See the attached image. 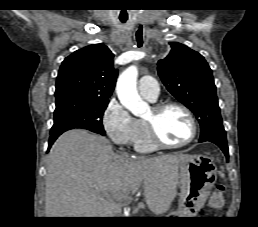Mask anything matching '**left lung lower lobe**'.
Returning <instances> with one entry per match:
<instances>
[{
    "label": "left lung lower lobe",
    "mask_w": 258,
    "mask_h": 227,
    "mask_svg": "<svg viewBox=\"0 0 258 227\" xmlns=\"http://www.w3.org/2000/svg\"><path fill=\"white\" fill-rule=\"evenodd\" d=\"M210 142L215 143L218 145L222 151L224 152L226 159H229V154H228V146H227V141H222V140H210Z\"/></svg>",
    "instance_id": "left-lung-lower-lobe-1"
}]
</instances>
